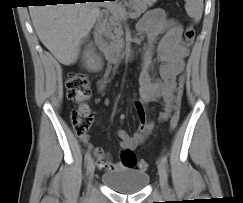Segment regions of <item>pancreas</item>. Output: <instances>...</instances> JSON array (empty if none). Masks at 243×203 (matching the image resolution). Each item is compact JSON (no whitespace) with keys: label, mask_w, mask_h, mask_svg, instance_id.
<instances>
[{"label":"pancreas","mask_w":243,"mask_h":203,"mask_svg":"<svg viewBox=\"0 0 243 203\" xmlns=\"http://www.w3.org/2000/svg\"><path fill=\"white\" fill-rule=\"evenodd\" d=\"M156 1L157 0H128V2L118 5L123 8L127 6L134 10L136 17H139L147 10L148 7L153 6ZM122 20L123 17H121L119 13L110 11L109 18L102 27L104 36L109 40V47L111 48H121L124 45V41L122 39Z\"/></svg>","instance_id":"obj_1"}]
</instances>
